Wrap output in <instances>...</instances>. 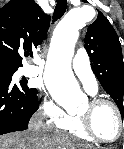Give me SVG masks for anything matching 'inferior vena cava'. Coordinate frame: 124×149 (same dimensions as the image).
Here are the masks:
<instances>
[{"label": "inferior vena cava", "mask_w": 124, "mask_h": 149, "mask_svg": "<svg viewBox=\"0 0 124 149\" xmlns=\"http://www.w3.org/2000/svg\"><path fill=\"white\" fill-rule=\"evenodd\" d=\"M44 116L41 112H38L33 115L29 122V136L31 138H37L42 135L46 129V126L43 123Z\"/></svg>", "instance_id": "602c4592"}]
</instances>
